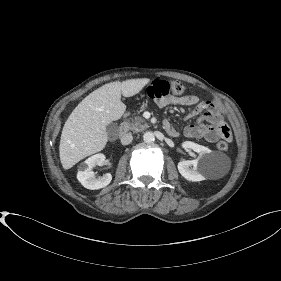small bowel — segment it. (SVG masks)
<instances>
[{"instance_id": "small-bowel-1", "label": "small bowel", "mask_w": 281, "mask_h": 281, "mask_svg": "<svg viewBox=\"0 0 281 281\" xmlns=\"http://www.w3.org/2000/svg\"><path fill=\"white\" fill-rule=\"evenodd\" d=\"M155 102L159 108H164L170 104L186 107L193 106L192 111L187 117L199 118L196 124H191L184 127L182 131L184 136L194 139H205L208 142L214 143L219 138H224L225 132L227 131L231 140L230 130L224 122L216 104L212 100L201 101L197 96L183 95L160 98L156 99ZM163 125L170 136L177 137L180 135V132L176 130L170 122L165 121Z\"/></svg>"}]
</instances>
